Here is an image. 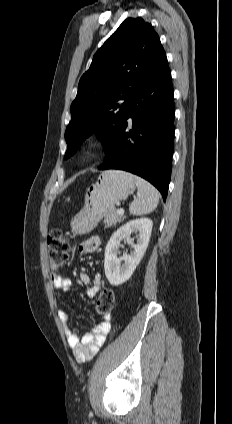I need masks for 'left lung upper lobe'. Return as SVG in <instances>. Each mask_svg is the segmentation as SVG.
I'll use <instances>...</instances> for the list:
<instances>
[{
    "label": "left lung upper lobe",
    "instance_id": "obj_1",
    "mask_svg": "<svg viewBox=\"0 0 232 424\" xmlns=\"http://www.w3.org/2000/svg\"><path fill=\"white\" fill-rule=\"evenodd\" d=\"M165 51L153 27L141 18H128L106 40L79 81L71 104L72 119L65 131L66 158L97 129L106 152L124 121L128 106ZM125 100L124 103L119 101Z\"/></svg>",
    "mask_w": 232,
    "mask_h": 424
}]
</instances>
